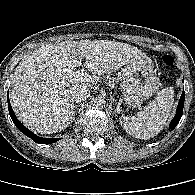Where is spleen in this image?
Masks as SVG:
<instances>
[{
  "label": "spleen",
  "instance_id": "spleen-1",
  "mask_svg": "<svg viewBox=\"0 0 195 195\" xmlns=\"http://www.w3.org/2000/svg\"><path fill=\"white\" fill-rule=\"evenodd\" d=\"M173 102L174 89L166 87L136 116H122L120 124L126 132L135 138H153L166 124Z\"/></svg>",
  "mask_w": 195,
  "mask_h": 195
}]
</instances>
